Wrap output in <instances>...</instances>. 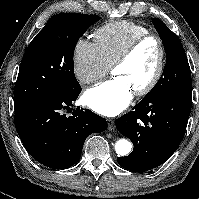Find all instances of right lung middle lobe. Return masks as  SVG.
Segmentation results:
<instances>
[{"label": "right lung middle lobe", "instance_id": "dd1d6c3e", "mask_svg": "<svg viewBox=\"0 0 199 199\" xmlns=\"http://www.w3.org/2000/svg\"><path fill=\"white\" fill-rule=\"evenodd\" d=\"M100 17L60 13L52 16L28 45L14 88L15 115L48 100L81 92L73 54L79 38Z\"/></svg>", "mask_w": 199, "mask_h": 199}]
</instances>
